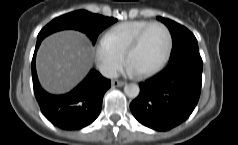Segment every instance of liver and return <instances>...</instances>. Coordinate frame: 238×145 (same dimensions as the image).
Returning a JSON list of instances; mask_svg holds the SVG:
<instances>
[{"label":"liver","instance_id":"obj_1","mask_svg":"<svg viewBox=\"0 0 238 145\" xmlns=\"http://www.w3.org/2000/svg\"><path fill=\"white\" fill-rule=\"evenodd\" d=\"M94 51L88 38L77 31H61L45 38L37 54L41 85L53 94L73 89L89 72Z\"/></svg>","mask_w":238,"mask_h":145}]
</instances>
